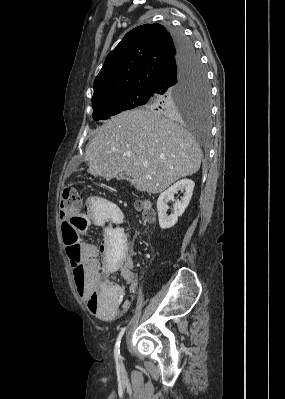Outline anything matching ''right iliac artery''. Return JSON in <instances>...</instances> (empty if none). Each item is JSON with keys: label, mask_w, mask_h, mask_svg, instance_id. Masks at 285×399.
Masks as SVG:
<instances>
[{"label": "right iliac artery", "mask_w": 285, "mask_h": 399, "mask_svg": "<svg viewBox=\"0 0 285 399\" xmlns=\"http://www.w3.org/2000/svg\"><path fill=\"white\" fill-rule=\"evenodd\" d=\"M125 329H126L125 327H123L121 329L120 333L118 334L116 343H115L114 357H115L116 360H120V358H121V356H120V343H121L122 336H123V334L125 332Z\"/></svg>", "instance_id": "obj_1"}]
</instances>
